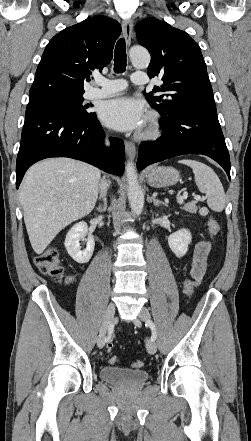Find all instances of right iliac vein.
<instances>
[{"label": "right iliac vein", "instance_id": "right-iliac-vein-1", "mask_svg": "<svg viewBox=\"0 0 251 441\" xmlns=\"http://www.w3.org/2000/svg\"><path fill=\"white\" fill-rule=\"evenodd\" d=\"M114 314H115V305L113 303H110L105 311L103 322L100 328V333L97 338V346L99 348H103L105 345L106 332L109 326L113 323Z\"/></svg>", "mask_w": 251, "mask_h": 441}]
</instances>
